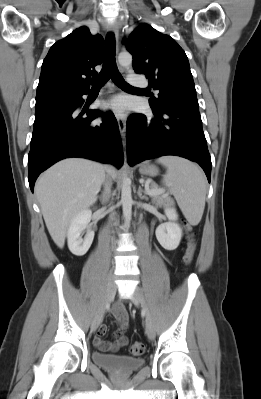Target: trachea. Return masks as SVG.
<instances>
[{
    "label": "trachea",
    "mask_w": 261,
    "mask_h": 399,
    "mask_svg": "<svg viewBox=\"0 0 261 399\" xmlns=\"http://www.w3.org/2000/svg\"><path fill=\"white\" fill-rule=\"evenodd\" d=\"M112 79L115 85L123 89H138L129 85L120 74L115 60V38L113 33H109L106 37V49L103 67L101 72L88 80L92 88H101L104 84Z\"/></svg>",
    "instance_id": "trachea-1"
}]
</instances>
